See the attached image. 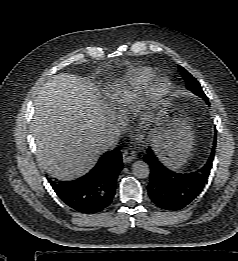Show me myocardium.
Masks as SVG:
<instances>
[{"mask_svg": "<svg viewBox=\"0 0 238 261\" xmlns=\"http://www.w3.org/2000/svg\"><path fill=\"white\" fill-rule=\"evenodd\" d=\"M170 87V82L166 78H157L152 87V94L154 96L164 95Z\"/></svg>", "mask_w": 238, "mask_h": 261, "instance_id": "myocardium-1", "label": "myocardium"}]
</instances>
